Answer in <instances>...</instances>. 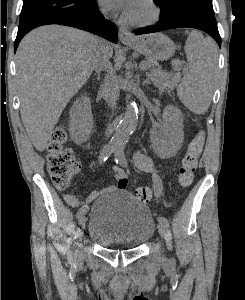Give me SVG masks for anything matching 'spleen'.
Here are the masks:
<instances>
[{"mask_svg":"<svg viewBox=\"0 0 245 300\" xmlns=\"http://www.w3.org/2000/svg\"><path fill=\"white\" fill-rule=\"evenodd\" d=\"M185 53L191 68L185 72L177 93L195 114H204L211 103L218 53L212 40L197 31L188 33Z\"/></svg>","mask_w":245,"mask_h":300,"instance_id":"1","label":"spleen"}]
</instances>
